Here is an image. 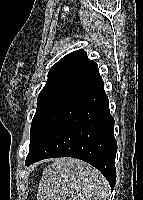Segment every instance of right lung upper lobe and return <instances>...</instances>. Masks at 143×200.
Returning <instances> with one entry per match:
<instances>
[{
    "label": "right lung upper lobe",
    "mask_w": 143,
    "mask_h": 200,
    "mask_svg": "<svg viewBox=\"0 0 143 200\" xmlns=\"http://www.w3.org/2000/svg\"><path fill=\"white\" fill-rule=\"evenodd\" d=\"M94 64L83 50L73 51L60 59L49 71L48 79H65L77 71Z\"/></svg>",
    "instance_id": "obj_1"
}]
</instances>
